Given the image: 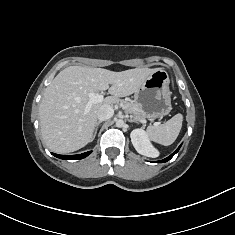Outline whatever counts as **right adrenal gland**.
Segmentation results:
<instances>
[{"mask_svg": "<svg viewBox=\"0 0 235 235\" xmlns=\"http://www.w3.org/2000/svg\"><path fill=\"white\" fill-rule=\"evenodd\" d=\"M101 123H102V121H98V122L96 123V128H95L94 134H93V136H92V138H91V141L94 140V138H95V136H96V134H97V131H98V127H99V125H100Z\"/></svg>", "mask_w": 235, "mask_h": 235, "instance_id": "right-adrenal-gland-1", "label": "right adrenal gland"}]
</instances>
